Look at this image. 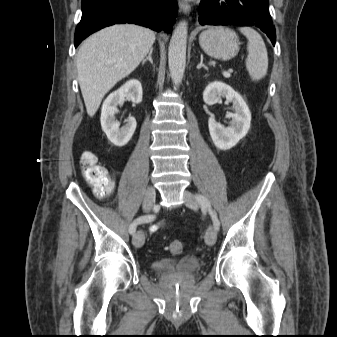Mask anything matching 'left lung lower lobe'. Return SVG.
Listing matches in <instances>:
<instances>
[{
    "label": "left lung lower lobe",
    "instance_id": "obj_1",
    "mask_svg": "<svg viewBox=\"0 0 337 337\" xmlns=\"http://www.w3.org/2000/svg\"><path fill=\"white\" fill-rule=\"evenodd\" d=\"M199 15L201 25L259 27L275 45L276 33L269 13V0H202Z\"/></svg>",
    "mask_w": 337,
    "mask_h": 337
}]
</instances>
